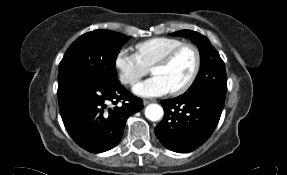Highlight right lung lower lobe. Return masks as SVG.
<instances>
[{
	"label": "right lung lower lobe",
	"instance_id": "right-lung-lower-lobe-1",
	"mask_svg": "<svg viewBox=\"0 0 287 175\" xmlns=\"http://www.w3.org/2000/svg\"><path fill=\"white\" fill-rule=\"evenodd\" d=\"M57 95L68 133L79 146L92 153L116 146L123 136L127 118L143 107V101L120 83L103 85L73 80L58 85ZM110 103L115 106L109 108Z\"/></svg>",
	"mask_w": 287,
	"mask_h": 175
}]
</instances>
